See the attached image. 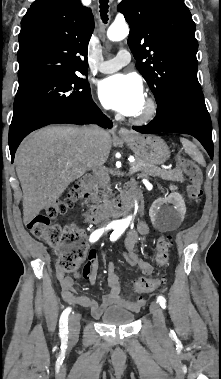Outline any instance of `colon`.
Instances as JSON below:
<instances>
[{
	"mask_svg": "<svg viewBox=\"0 0 221 379\" xmlns=\"http://www.w3.org/2000/svg\"><path fill=\"white\" fill-rule=\"evenodd\" d=\"M179 164L183 173L189 179L187 187L188 198L191 202L200 201L203 191V173L199 166L192 161L180 159ZM90 195L80 185L70 188L67 195L52 205L44 213L35 216L29 223L28 229L37 238L49 245L58 248L60 256L57 267L62 272L76 271L89 258L86 247V235L82 229L74 224H55L51 218L65 214L75 203H85ZM172 245L169 236H161L155 247L156 262L159 266H166L170 258ZM161 281L155 278L139 277L134 280V291L140 295L153 292L160 286Z\"/></svg>",
	"mask_w": 221,
	"mask_h": 379,
	"instance_id": "5ec220e1",
	"label": "colon"
}]
</instances>
